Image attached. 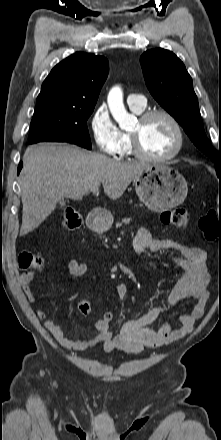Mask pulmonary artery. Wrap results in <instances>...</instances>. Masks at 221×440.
Segmentation results:
<instances>
[{
	"label": "pulmonary artery",
	"instance_id": "obj_1",
	"mask_svg": "<svg viewBox=\"0 0 221 440\" xmlns=\"http://www.w3.org/2000/svg\"><path fill=\"white\" fill-rule=\"evenodd\" d=\"M127 103L130 107L142 109L146 106V98L140 94H130L127 97Z\"/></svg>",
	"mask_w": 221,
	"mask_h": 440
}]
</instances>
